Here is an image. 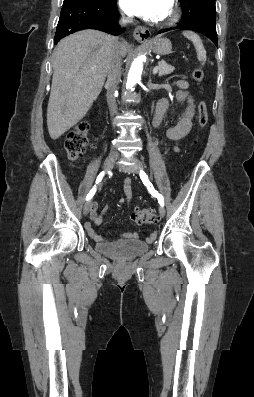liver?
Here are the masks:
<instances>
[{
	"label": "liver",
	"mask_w": 254,
	"mask_h": 397,
	"mask_svg": "<svg viewBox=\"0 0 254 397\" xmlns=\"http://www.w3.org/2000/svg\"><path fill=\"white\" fill-rule=\"evenodd\" d=\"M116 38L96 30H83L62 39L53 52L52 87L47 127L53 140L80 121L104 85L110 52ZM121 55L127 45L120 44Z\"/></svg>",
	"instance_id": "obj_1"
}]
</instances>
